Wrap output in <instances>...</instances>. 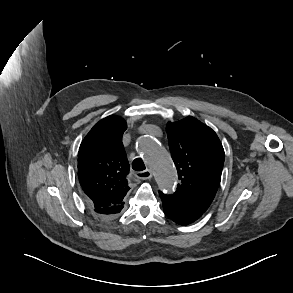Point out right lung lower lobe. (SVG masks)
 <instances>
[{
	"label": "right lung lower lobe",
	"mask_w": 293,
	"mask_h": 293,
	"mask_svg": "<svg viewBox=\"0 0 293 293\" xmlns=\"http://www.w3.org/2000/svg\"><path fill=\"white\" fill-rule=\"evenodd\" d=\"M122 208H123V205L93 209V211L97 216H99L102 219H110V218H113L116 214H118L122 210Z\"/></svg>",
	"instance_id": "1"
}]
</instances>
